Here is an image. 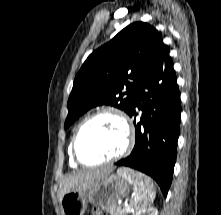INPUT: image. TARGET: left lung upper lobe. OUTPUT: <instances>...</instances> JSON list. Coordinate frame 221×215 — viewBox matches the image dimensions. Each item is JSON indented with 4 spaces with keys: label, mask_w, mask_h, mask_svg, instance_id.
Segmentation results:
<instances>
[{
    "label": "left lung upper lobe",
    "mask_w": 221,
    "mask_h": 215,
    "mask_svg": "<svg viewBox=\"0 0 221 215\" xmlns=\"http://www.w3.org/2000/svg\"><path fill=\"white\" fill-rule=\"evenodd\" d=\"M162 44L158 30L139 21L93 51L75 77L65 129L98 105H111L129 114L137 89Z\"/></svg>",
    "instance_id": "5c2ea615"
}]
</instances>
